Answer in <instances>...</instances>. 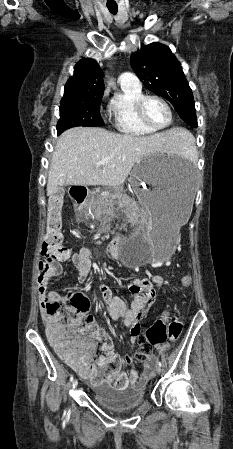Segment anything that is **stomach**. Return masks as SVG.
Segmentation results:
<instances>
[{
  "instance_id": "stomach-1",
  "label": "stomach",
  "mask_w": 233,
  "mask_h": 449,
  "mask_svg": "<svg viewBox=\"0 0 233 449\" xmlns=\"http://www.w3.org/2000/svg\"><path fill=\"white\" fill-rule=\"evenodd\" d=\"M129 184L147 217L120 246L121 258L128 267L153 259L165 260L174 251L179 228L191 215L195 201V171L182 159H158L155 154L137 162ZM93 209L99 210L97 203ZM102 214L97 213L100 217Z\"/></svg>"
}]
</instances>
